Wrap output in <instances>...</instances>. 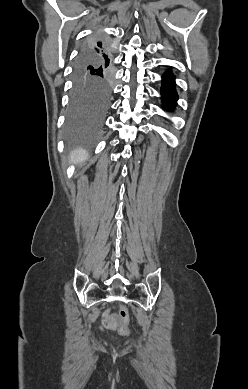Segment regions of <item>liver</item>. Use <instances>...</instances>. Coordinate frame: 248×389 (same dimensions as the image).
Wrapping results in <instances>:
<instances>
[{"instance_id":"1","label":"liver","mask_w":248,"mask_h":389,"mask_svg":"<svg viewBox=\"0 0 248 389\" xmlns=\"http://www.w3.org/2000/svg\"><path fill=\"white\" fill-rule=\"evenodd\" d=\"M87 157H88V154L86 151L78 149V150L73 151L70 154V162L81 163V162L85 161L87 159Z\"/></svg>"}]
</instances>
